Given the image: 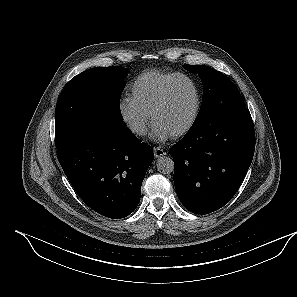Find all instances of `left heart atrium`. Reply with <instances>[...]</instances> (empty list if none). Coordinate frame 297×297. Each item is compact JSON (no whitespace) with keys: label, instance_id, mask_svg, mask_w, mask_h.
<instances>
[{"label":"left heart atrium","instance_id":"left-heart-atrium-1","mask_svg":"<svg viewBox=\"0 0 297 297\" xmlns=\"http://www.w3.org/2000/svg\"><path fill=\"white\" fill-rule=\"evenodd\" d=\"M150 136L152 139H154L156 141H165L171 135H169L166 131H164L160 127H158L156 125H152Z\"/></svg>","mask_w":297,"mask_h":297}]
</instances>
